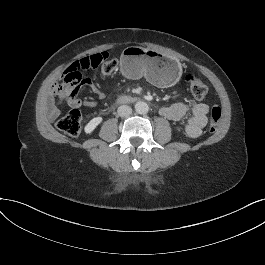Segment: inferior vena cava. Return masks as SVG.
<instances>
[{
	"label": "inferior vena cava",
	"instance_id": "1",
	"mask_svg": "<svg viewBox=\"0 0 265 265\" xmlns=\"http://www.w3.org/2000/svg\"><path fill=\"white\" fill-rule=\"evenodd\" d=\"M132 114V108L127 105H122L118 108V115L121 117H125Z\"/></svg>",
	"mask_w": 265,
	"mask_h": 265
}]
</instances>
